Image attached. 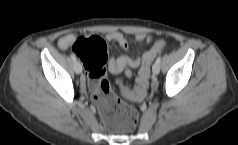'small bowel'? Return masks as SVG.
<instances>
[{"instance_id":"small-bowel-1","label":"small bowel","mask_w":238,"mask_h":145,"mask_svg":"<svg viewBox=\"0 0 238 145\" xmlns=\"http://www.w3.org/2000/svg\"><path fill=\"white\" fill-rule=\"evenodd\" d=\"M76 37L77 35H74V34H67L62 36L59 40V47L63 50H66L69 47H72V43ZM134 38L137 42L151 43L153 41L152 36L145 33H136L134 35ZM106 39L109 41L118 43L119 46L123 48L124 50L129 49L126 39L118 31H111L107 33ZM139 64H140L139 58L133 59L126 55H122V56H119L118 58L111 59L109 61L108 66H109V70L112 73H119L121 71H125L127 76H131V70L136 68Z\"/></svg>"}]
</instances>
